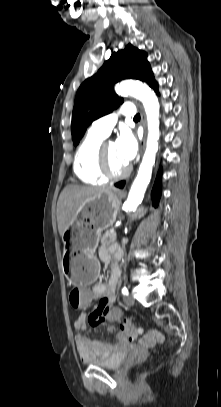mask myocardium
Returning <instances> with one entry per match:
<instances>
[{
    "mask_svg": "<svg viewBox=\"0 0 221 407\" xmlns=\"http://www.w3.org/2000/svg\"><path fill=\"white\" fill-rule=\"evenodd\" d=\"M109 142H103L99 149L98 155V166L100 173L106 178L111 180H116L127 176L131 170L130 166H126L123 170L115 172L111 169L107 153L106 147Z\"/></svg>",
    "mask_w": 221,
    "mask_h": 407,
    "instance_id": "obj_1",
    "label": "myocardium"
}]
</instances>
